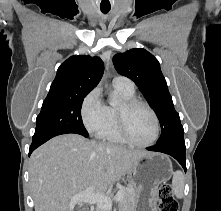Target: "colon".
<instances>
[{
    "label": "colon",
    "mask_w": 221,
    "mask_h": 211,
    "mask_svg": "<svg viewBox=\"0 0 221 211\" xmlns=\"http://www.w3.org/2000/svg\"><path fill=\"white\" fill-rule=\"evenodd\" d=\"M158 196L159 211H179V204L175 199L172 187L169 184H163L159 188Z\"/></svg>",
    "instance_id": "5ec220e1"
}]
</instances>
